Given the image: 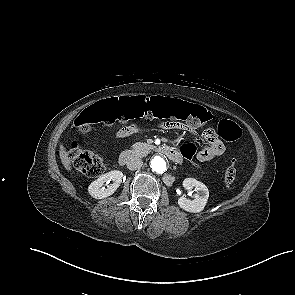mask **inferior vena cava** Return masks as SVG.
Wrapping results in <instances>:
<instances>
[{
    "label": "inferior vena cava",
    "instance_id": "obj_1",
    "mask_svg": "<svg viewBox=\"0 0 295 295\" xmlns=\"http://www.w3.org/2000/svg\"><path fill=\"white\" fill-rule=\"evenodd\" d=\"M127 168L129 170H137L139 168L142 167L143 165V161L142 159L138 158V157H131L128 161H127Z\"/></svg>",
    "mask_w": 295,
    "mask_h": 295
}]
</instances>
